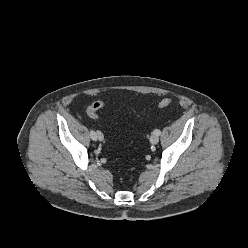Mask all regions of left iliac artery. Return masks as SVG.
Returning a JSON list of instances; mask_svg holds the SVG:
<instances>
[{"instance_id":"1","label":"left iliac artery","mask_w":248,"mask_h":248,"mask_svg":"<svg viewBox=\"0 0 248 248\" xmlns=\"http://www.w3.org/2000/svg\"><path fill=\"white\" fill-rule=\"evenodd\" d=\"M154 134H156L157 136H159L161 134V131L159 129L154 130Z\"/></svg>"}]
</instances>
